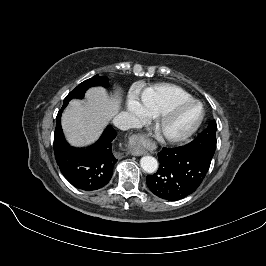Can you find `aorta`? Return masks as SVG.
Listing matches in <instances>:
<instances>
[{"mask_svg":"<svg viewBox=\"0 0 266 266\" xmlns=\"http://www.w3.org/2000/svg\"><path fill=\"white\" fill-rule=\"evenodd\" d=\"M140 165L146 173H154L158 169V161L152 156L142 157Z\"/></svg>","mask_w":266,"mask_h":266,"instance_id":"aorta-1","label":"aorta"}]
</instances>
